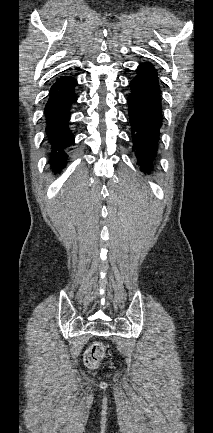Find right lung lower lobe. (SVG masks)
Masks as SVG:
<instances>
[{"instance_id":"right-lung-lower-lobe-1","label":"right lung lower lobe","mask_w":213,"mask_h":433,"mask_svg":"<svg viewBox=\"0 0 213 433\" xmlns=\"http://www.w3.org/2000/svg\"><path fill=\"white\" fill-rule=\"evenodd\" d=\"M77 81L72 77H61L51 87L45 105L46 140L51 146L50 160L53 172L66 164V151L74 145V136L69 129L70 107L77 98L74 87Z\"/></svg>"}]
</instances>
